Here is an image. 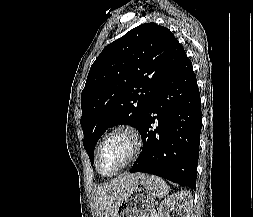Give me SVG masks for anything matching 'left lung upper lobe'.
I'll return each instance as SVG.
<instances>
[{"label":"left lung upper lobe","instance_id":"obj_1","mask_svg":"<svg viewBox=\"0 0 253 217\" xmlns=\"http://www.w3.org/2000/svg\"><path fill=\"white\" fill-rule=\"evenodd\" d=\"M185 55L174 34L156 23L141 24L103 49L81 94L83 144L91 164L95 144L109 127H139L152 98Z\"/></svg>","mask_w":253,"mask_h":217}]
</instances>
